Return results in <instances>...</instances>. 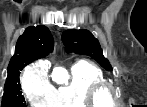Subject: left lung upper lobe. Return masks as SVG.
Segmentation results:
<instances>
[{
	"label": "left lung upper lobe",
	"mask_w": 147,
	"mask_h": 107,
	"mask_svg": "<svg viewBox=\"0 0 147 107\" xmlns=\"http://www.w3.org/2000/svg\"><path fill=\"white\" fill-rule=\"evenodd\" d=\"M62 41L67 52L88 55L94 58L104 69L112 71L108 59L103 56L99 41L88 30H66L62 34Z\"/></svg>",
	"instance_id": "obj_1"
}]
</instances>
